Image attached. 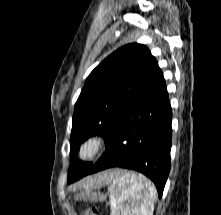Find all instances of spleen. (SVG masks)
<instances>
[{"instance_id":"1","label":"spleen","mask_w":221,"mask_h":215,"mask_svg":"<svg viewBox=\"0 0 221 215\" xmlns=\"http://www.w3.org/2000/svg\"><path fill=\"white\" fill-rule=\"evenodd\" d=\"M109 191L111 215H152L156 190L145 176L117 171Z\"/></svg>"}]
</instances>
